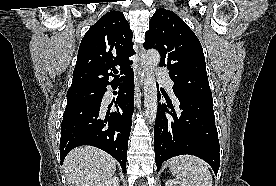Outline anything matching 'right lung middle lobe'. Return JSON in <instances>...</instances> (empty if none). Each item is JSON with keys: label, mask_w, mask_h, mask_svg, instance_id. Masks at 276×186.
<instances>
[{"label": "right lung middle lobe", "mask_w": 276, "mask_h": 186, "mask_svg": "<svg viewBox=\"0 0 276 186\" xmlns=\"http://www.w3.org/2000/svg\"><path fill=\"white\" fill-rule=\"evenodd\" d=\"M102 87H80L67 92V104L79 103L88 99H91L95 95L101 93Z\"/></svg>", "instance_id": "dd1d6c3e"}]
</instances>
